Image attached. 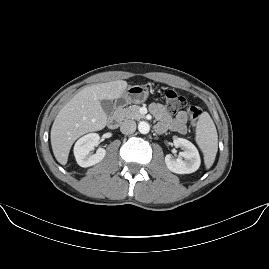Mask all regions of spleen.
<instances>
[{"mask_svg":"<svg viewBox=\"0 0 269 269\" xmlns=\"http://www.w3.org/2000/svg\"><path fill=\"white\" fill-rule=\"evenodd\" d=\"M197 142L205 154V163L210 167L217 152V131L216 127L207 113L200 116L197 124Z\"/></svg>","mask_w":269,"mask_h":269,"instance_id":"obj_1","label":"spleen"}]
</instances>
